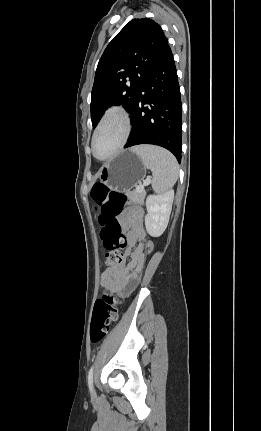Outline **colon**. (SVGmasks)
I'll use <instances>...</instances> for the list:
<instances>
[{"label": "colon", "instance_id": "1", "mask_svg": "<svg viewBox=\"0 0 261 431\" xmlns=\"http://www.w3.org/2000/svg\"><path fill=\"white\" fill-rule=\"evenodd\" d=\"M91 198L97 205L102 226L100 237L106 249L105 259L108 265L122 263L126 238L122 232L117 216L128 204L126 196L112 190L102 183H96L91 189ZM120 299L112 292L106 291L95 303L90 338L92 343L100 342L109 332L111 324L118 318Z\"/></svg>", "mask_w": 261, "mask_h": 431}]
</instances>
